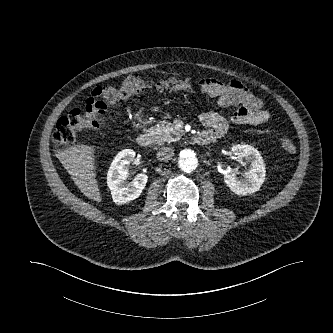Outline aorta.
<instances>
[{
	"mask_svg": "<svg viewBox=\"0 0 333 333\" xmlns=\"http://www.w3.org/2000/svg\"><path fill=\"white\" fill-rule=\"evenodd\" d=\"M179 167L182 171L190 173L198 167V159L190 149H183L179 153Z\"/></svg>",
	"mask_w": 333,
	"mask_h": 333,
	"instance_id": "1",
	"label": "aorta"
}]
</instances>
